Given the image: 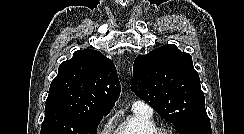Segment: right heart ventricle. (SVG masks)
<instances>
[{
	"label": "right heart ventricle",
	"mask_w": 244,
	"mask_h": 134,
	"mask_svg": "<svg viewBox=\"0 0 244 134\" xmlns=\"http://www.w3.org/2000/svg\"><path fill=\"white\" fill-rule=\"evenodd\" d=\"M158 128L150 113L133 109L130 116L115 127L113 134H153Z\"/></svg>",
	"instance_id": "1"
}]
</instances>
